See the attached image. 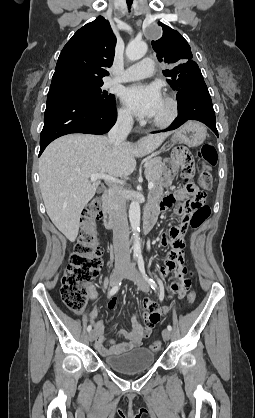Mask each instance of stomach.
<instances>
[{"label": "stomach", "mask_w": 255, "mask_h": 418, "mask_svg": "<svg viewBox=\"0 0 255 418\" xmlns=\"http://www.w3.org/2000/svg\"><path fill=\"white\" fill-rule=\"evenodd\" d=\"M206 137L205 128L197 122H188L176 130L171 138L173 143H183L188 146H198Z\"/></svg>", "instance_id": "obj_1"}]
</instances>
